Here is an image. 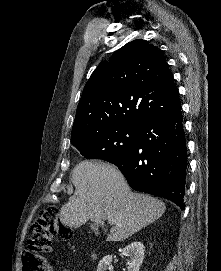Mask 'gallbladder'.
Instances as JSON below:
<instances>
[{
    "label": "gallbladder",
    "instance_id": "bac80fb5",
    "mask_svg": "<svg viewBox=\"0 0 221 271\" xmlns=\"http://www.w3.org/2000/svg\"><path fill=\"white\" fill-rule=\"evenodd\" d=\"M91 229H93V231H96V229H98V225H96V223H92V225H90Z\"/></svg>",
    "mask_w": 221,
    "mask_h": 271
}]
</instances>
